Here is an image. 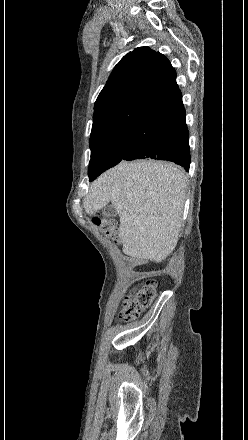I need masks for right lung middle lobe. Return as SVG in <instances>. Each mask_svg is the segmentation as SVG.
<instances>
[{
  "label": "right lung middle lobe",
  "instance_id": "obj_1",
  "mask_svg": "<svg viewBox=\"0 0 248 440\" xmlns=\"http://www.w3.org/2000/svg\"><path fill=\"white\" fill-rule=\"evenodd\" d=\"M129 131H120L90 146L91 160L88 168L89 181L117 165L123 157L129 140Z\"/></svg>",
  "mask_w": 248,
  "mask_h": 440
}]
</instances>
